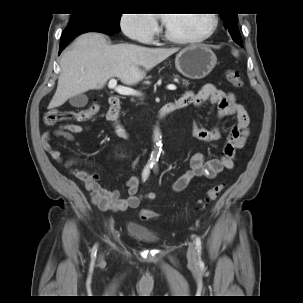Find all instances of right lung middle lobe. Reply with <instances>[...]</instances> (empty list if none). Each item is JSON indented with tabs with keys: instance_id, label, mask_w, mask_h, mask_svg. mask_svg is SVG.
Listing matches in <instances>:
<instances>
[{
	"instance_id": "1",
	"label": "right lung middle lobe",
	"mask_w": 303,
	"mask_h": 303,
	"mask_svg": "<svg viewBox=\"0 0 303 303\" xmlns=\"http://www.w3.org/2000/svg\"><path fill=\"white\" fill-rule=\"evenodd\" d=\"M120 18L121 14L119 13L84 12L79 14H72L71 20L67 28L86 22H107L110 24L119 25Z\"/></svg>"
}]
</instances>
